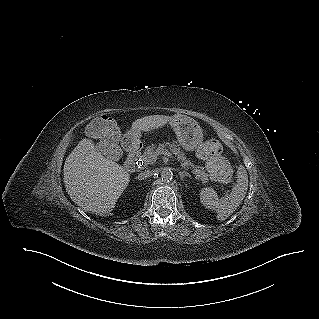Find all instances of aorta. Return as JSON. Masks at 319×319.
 Masks as SVG:
<instances>
[{
	"instance_id": "aorta-1",
	"label": "aorta",
	"mask_w": 319,
	"mask_h": 319,
	"mask_svg": "<svg viewBox=\"0 0 319 319\" xmlns=\"http://www.w3.org/2000/svg\"><path fill=\"white\" fill-rule=\"evenodd\" d=\"M161 178L165 182H169L173 179V172L170 168H164L161 172Z\"/></svg>"
}]
</instances>
